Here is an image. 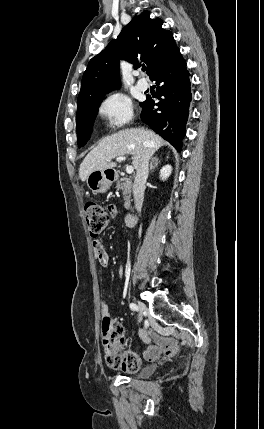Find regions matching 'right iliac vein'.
I'll list each match as a JSON object with an SVG mask.
<instances>
[{
  "label": "right iliac vein",
  "mask_w": 264,
  "mask_h": 429,
  "mask_svg": "<svg viewBox=\"0 0 264 429\" xmlns=\"http://www.w3.org/2000/svg\"><path fill=\"white\" fill-rule=\"evenodd\" d=\"M138 309L140 313H137V318H139V321L142 323L144 321V310L142 309V306L140 305V302L137 303Z\"/></svg>",
  "instance_id": "63e3f726"
}]
</instances>
